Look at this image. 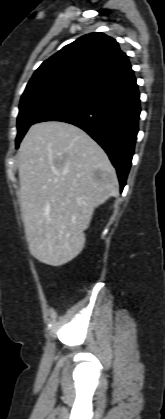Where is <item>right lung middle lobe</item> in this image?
Returning a JSON list of instances; mask_svg holds the SVG:
<instances>
[{"label":"right lung middle lobe","mask_w":165,"mask_h":419,"mask_svg":"<svg viewBox=\"0 0 165 419\" xmlns=\"http://www.w3.org/2000/svg\"><path fill=\"white\" fill-rule=\"evenodd\" d=\"M85 94L84 91L61 86L46 87L24 93L21 97L17 118L16 148L19 147L28 128L37 123L42 116Z\"/></svg>","instance_id":"dd1d6c3e"}]
</instances>
